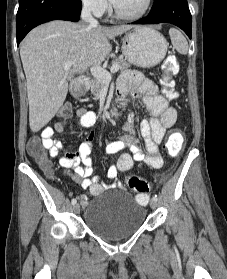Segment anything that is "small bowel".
I'll list each match as a JSON object with an SVG mask.
<instances>
[{"label":"small bowel","mask_w":227,"mask_h":279,"mask_svg":"<svg viewBox=\"0 0 227 279\" xmlns=\"http://www.w3.org/2000/svg\"><path fill=\"white\" fill-rule=\"evenodd\" d=\"M120 96L124 97L129 91L134 96H139L149 111L150 117L143 119L138 124L139 132L144 140L146 153L139 147L134 126V115H129L123 126L124 134L120 139L111 141L106 145V152L109 155L119 154V157L108 170V178L115 180L119 172H125L132 168L134 161H142L151 168H159L163 159L159 153L166 131L171 128L177 119V111L168 106L166 98L158 91L157 86L150 80L143 79L138 73H124L118 81L117 87ZM79 125L91 129L97 122L96 114L93 111L78 109L76 111ZM66 120L54 118L51 125L42 130L43 146L49 150L51 157H58L62 148L60 140L52 138L54 133H63ZM95 133L89 130L85 141L75 152H64L58 158L60 167L71 176L83 188H92L95 194L102 192L105 185L100 178L93 175L94 165L92 159V141ZM93 188H96L95 190ZM82 206H87L90 201L81 196Z\"/></svg>","instance_id":"small-bowel-1"}]
</instances>
